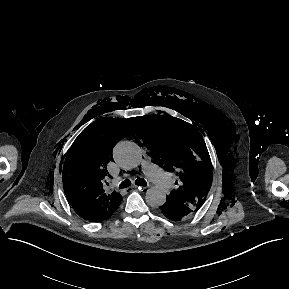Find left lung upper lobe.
Returning a JSON list of instances; mask_svg holds the SVG:
<instances>
[{"label":"left lung upper lobe","mask_w":289,"mask_h":289,"mask_svg":"<svg viewBox=\"0 0 289 289\" xmlns=\"http://www.w3.org/2000/svg\"><path fill=\"white\" fill-rule=\"evenodd\" d=\"M138 125L144 145L150 148L149 156L166 171H177L178 188L167 200L197 211L212 184L210 156L200 133L172 116L141 117Z\"/></svg>","instance_id":"left-lung-upper-lobe-1"}]
</instances>
